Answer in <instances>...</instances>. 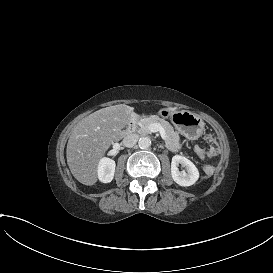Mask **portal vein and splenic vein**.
Listing matches in <instances>:
<instances>
[{"mask_svg": "<svg viewBox=\"0 0 273 273\" xmlns=\"http://www.w3.org/2000/svg\"><path fill=\"white\" fill-rule=\"evenodd\" d=\"M148 130L151 132V133H156V132H160V136L162 138L163 141L166 140V135H165V131L164 129L161 127L160 124L158 123H151L147 126Z\"/></svg>", "mask_w": 273, "mask_h": 273, "instance_id": "obj_1", "label": "portal vein and splenic vein"}]
</instances>
